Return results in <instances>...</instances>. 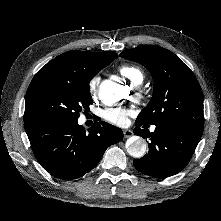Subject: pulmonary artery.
I'll return each instance as SVG.
<instances>
[{
  "instance_id": "obj_1",
  "label": "pulmonary artery",
  "mask_w": 221,
  "mask_h": 221,
  "mask_svg": "<svg viewBox=\"0 0 221 221\" xmlns=\"http://www.w3.org/2000/svg\"><path fill=\"white\" fill-rule=\"evenodd\" d=\"M155 130V127H152V131H154Z\"/></svg>"
}]
</instances>
